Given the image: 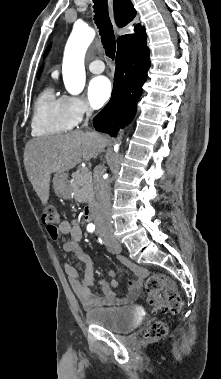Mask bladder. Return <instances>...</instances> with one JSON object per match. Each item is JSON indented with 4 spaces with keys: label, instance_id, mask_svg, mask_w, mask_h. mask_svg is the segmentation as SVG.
I'll return each mask as SVG.
<instances>
[{
    "label": "bladder",
    "instance_id": "1",
    "mask_svg": "<svg viewBox=\"0 0 221 379\" xmlns=\"http://www.w3.org/2000/svg\"><path fill=\"white\" fill-rule=\"evenodd\" d=\"M85 319L113 333L125 334L136 328L143 316L134 307H101L87 311Z\"/></svg>",
    "mask_w": 221,
    "mask_h": 379
}]
</instances>
